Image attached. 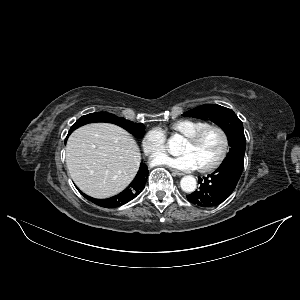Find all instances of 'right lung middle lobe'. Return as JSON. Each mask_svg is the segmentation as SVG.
<instances>
[{
  "label": "right lung middle lobe",
  "mask_w": 300,
  "mask_h": 300,
  "mask_svg": "<svg viewBox=\"0 0 300 300\" xmlns=\"http://www.w3.org/2000/svg\"><path fill=\"white\" fill-rule=\"evenodd\" d=\"M91 122L113 123V124H116V125L124 128L129 133H131L137 137H143L145 134V127L142 123H133L124 118H119L114 114H110V113H106V112L91 113V114L82 116L70 128L69 134L76 128H78L84 124L91 123Z\"/></svg>",
  "instance_id": "dd1d6c3e"
}]
</instances>
